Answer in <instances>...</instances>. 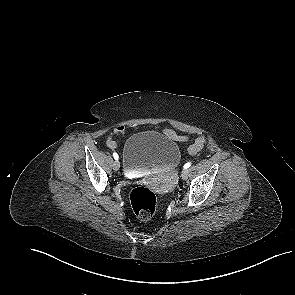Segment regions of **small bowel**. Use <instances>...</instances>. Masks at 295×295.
I'll list each match as a JSON object with an SVG mask.
<instances>
[{
    "label": "small bowel",
    "instance_id": "obj_1",
    "mask_svg": "<svg viewBox=\"0 0 295 295\" xmlns=\"http://www.w3.org/2000/svg\"><path fill=\"white\" fill-rule=\"evenodd\" d=\"M126 127L123 125H118L113 133L106 138V146L111 150H116L118 145L115 140V137L122 136L126 133ZM164 133L171 139L179 141V142H186L188 140V136L179 135L175 131L171 129H164ZM206 140L204 137L200 136L195 139V141L189 146L188 153L191 156L198 155L205 146Z\"/></svg>",
    "mask_w": 295,
    "mask_h": 295
}]
</instances>
